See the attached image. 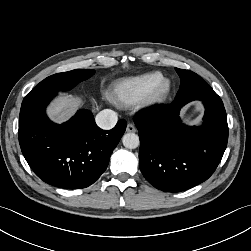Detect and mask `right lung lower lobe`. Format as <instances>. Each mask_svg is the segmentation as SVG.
Listing matches in <instances>:
<instances>
[{
	"instance_id": "98d812e1",
	"label": "right lung lower lobe",
	"mask_w": 251,
	"mask_h": 251,
	"mask_svg": "<svg viewBox=\"0 0 251 251\" xmlns=\"http://www.w3.org/2000/svg\"><path fill=\"white\" fill-rule=\"evenodd\" d=\"M56 94L32 90L25 96L19 117L21 151L44 182L64 189L85 188L106 170L127 122L119 120L113 129L104 131L92 113L82 109L69 121L55 124L45 109Z\"/></svg>"
}]
</instances>
